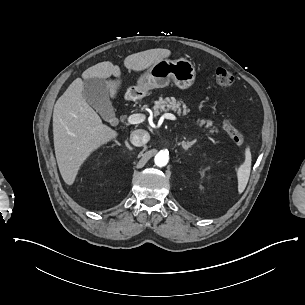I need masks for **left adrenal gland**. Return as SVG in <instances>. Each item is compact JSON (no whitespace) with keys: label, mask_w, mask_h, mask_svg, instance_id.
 <instances>
[{"label":"left adrenal gland","mask_w":305,"mask_h":305,"mask_svg":"<svg viewBox=\"0 0 305 305\" xmlns=\"http://www.w3.org/2000/svg\"><path fill=\"white\" fill-rule=\"evenodd\" d=\"M195 143H196L195 141L194 142L183 141L182 147L184 148V152H187L189 149H191L195 145Z\"/></svg>","instance_id":"left-adrenal-gland-1"}]
</instances>
